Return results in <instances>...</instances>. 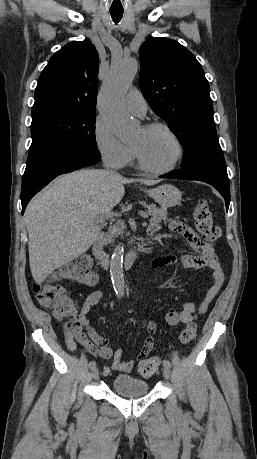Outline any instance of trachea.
<instances>
[{"label":"trachea","mask_w":257,"mask_h":459,"mask_svg":"<svg viewBox=\"0 0 257 459\" xmlns=\"http://www.w3.org/2000/svg\"><path fill=\"white\" fill-rule=\"evenodd\" d=\"M113 21L117 24L123 16V11H110Z\"/></svg>","instance_id":"obj_1"}]
</instances>
